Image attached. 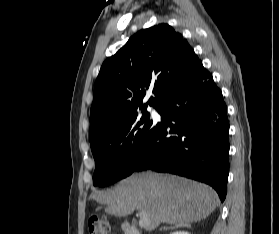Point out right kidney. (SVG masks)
Returning <instances> with one entry per match:
<instances>
[{
	"label": "right kidney",
	"mask_w": 279,
	"mask_h": 234,
	"mask_svg": "<svg viewBox=\"0 0 279 234\" xmlns=\"http://www.w3.org/2000/svg\"><path fill=\"white\" fill-rule=\"evenodd\" d=\"M171 234H190V233L186 232V231H175V232H172Z\"/></svg>",
	"instance_id": "right-kidney-1"
}]
</instances>
